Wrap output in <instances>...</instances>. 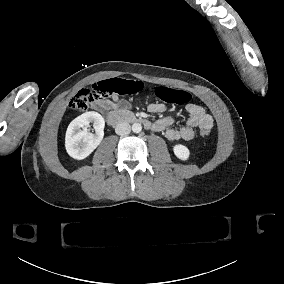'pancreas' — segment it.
Instances as JSON below:
<instances>
[{
  "label": "pancreas",
  "instance_id": "cf45deb5",
  "mask_svg": "<svg viewBox=\"0 0 284 284\" xmlns=\"http://www.w3.org/2000/svg\"><path fill=\"white\" fill-rule=\"evenodd\" d=\"M120 115L129 116V115H133V113L130 112V111H122V112H120Z\"/></svg>",
  "mask_w": 284,
  "mask_h": 284
}]
</instances>
